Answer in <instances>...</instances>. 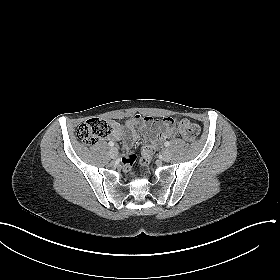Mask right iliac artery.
Wrapping results in <instances>:
<instances>
[{
    "label": "right iliac artery",
    "mask_w": 280,
    "mask_h": 280,
    "mask_svg": "<svg viewBox=\"0 0 280 280\" xmlns=\"http://www.w3.org/2000/svg\"><path fill=\"white\" fill-rule=\"evenodd\" d=\"M108 144L109 146H114V143L112 141H110Z\"/></svg>",
    "instance_id": "1"
}]
</instances>
